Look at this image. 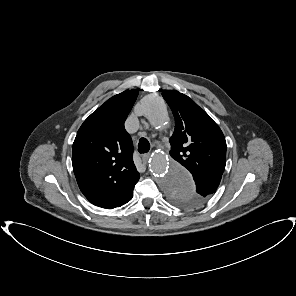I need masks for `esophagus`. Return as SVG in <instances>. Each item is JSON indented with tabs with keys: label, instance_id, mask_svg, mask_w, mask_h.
<instances>
[{
	"label": "esophagus",
	"instance_id": "1",
	"mask_svg": "<svg viewBox=\"0 0 296 296\" xmlns=\"http://www.w3.org/2000/svg\"><path fill=\"white\" fill-rule=\"evenodd\" d=\"M149 158H150V154L149 153L143 154L142 155V161H143V163L146 164Z\"/></svg>",
	"mask_w": 296,
	"mask_h": 296
}]
</instances>
